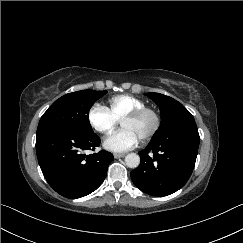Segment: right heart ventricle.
Returning a JSON list of instances; mask_svg holds the SVG:
<instances>
[{
    "mask_svg": "<svg viewBox=\"0 0 243 243\" xmlns=\"http://www.w3.org/2000/svg\"><path fill=\"white\" fill-rule=\"evenodd\" d=\"M109 110L117 120H121L130 112L146 107L144 101L128 94L116 95L109 102Z\"/></svg>",
    "mask_w": 243,
    "mask_h": 243,
    "instance_id": "1",
    "label": "right heart ventricle"
}]
</instances>
